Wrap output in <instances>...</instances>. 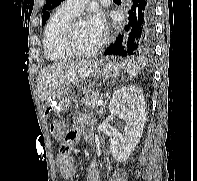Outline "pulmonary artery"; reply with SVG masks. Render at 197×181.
I'll return each instance as SVG.
<instances>
[{"mask_svg":"<svg viewBox=\"0 0 197 181\" xmlns=\"http://www.w3.org/2000/svg\"><path fill=\"white\" fill-rule=\"evenodd\" d=\"M89 0H65V2L63 3V6L76 13L79 14L83 8L85 7V5L88 3Z\"/></svg>","mask_w":197,"mask_h":181,"instance_id":"obj_1","label":"pulmonary artery"}]
</instances>
